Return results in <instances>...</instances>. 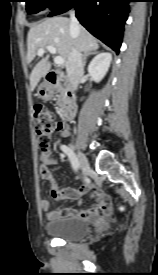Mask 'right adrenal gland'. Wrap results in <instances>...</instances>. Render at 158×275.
Instances as JSON below:
<instances>
[{
    "label": "right adrenal gland",
    "mask_w": 158,
    "mask_h": 275,
    "mask_svg": "<svg viewBox=\"0 0 158 275\" xmlns=\"http://www.w3.org/2000/svg\"><path fill=\"white\" fill-rule=\"evenodd\" d=\"M95 54H97V51H86V52H84V54H83V64H84V66L86 65L87 58L90 55H95Z\"/></svg>",
    "instance_id": "obj_1"
}]
</instances>
